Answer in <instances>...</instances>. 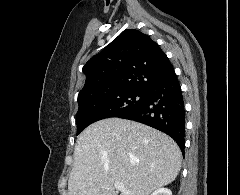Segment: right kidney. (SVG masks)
I'll return each instance as SVG.
<instances>
[{
	"instance_id": "obj_1",
	"label": "right kidney",
	"mask_w": 240,
	"mask_h": 195,
	"mask_svg": "<svg viewBox=\"0 0 240 195\" xmlns=\"http://www.w3.org/2000/svg\"><path fill=\"white\" fill-rule=\"evenodd\" d=\"M151 195H172L171 189H167V187H159V189H155Z\"/></svg>"
}]
</instances>
